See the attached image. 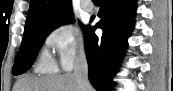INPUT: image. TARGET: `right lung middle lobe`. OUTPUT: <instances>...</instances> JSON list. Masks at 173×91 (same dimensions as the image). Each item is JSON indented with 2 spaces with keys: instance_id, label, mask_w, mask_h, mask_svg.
<instances>
[{
  "instance_id": "1",
  "label": "right lung middle lobe",
  "mask_w": 173,
  "mask_h": 91,
  "mask_svg": "<svg viewBox=\"0 0 173 91\" xmlns=\"http://www.w3.org/2000/svg\"><path fill=\"white\" fill-rule=\"evenodd\" d=\"M72 20L73 15L53 25L39 26L24 32L22 44L17 54L12 74L19 75L27 71L31 67L38 50L48 34L60 25L69 23Z\"/></svg>"
}]
</instances>
